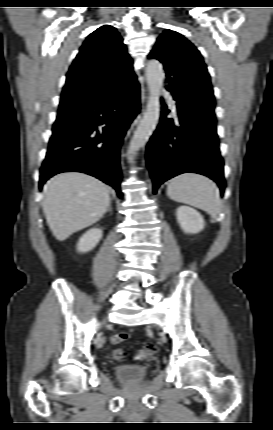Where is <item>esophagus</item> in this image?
<instances>
[{"label":"esophagus","instance_id":"esophagus-1","mask_svg":"<svg viewBox=\"0 0 273 430\" xmlns=\"http://www.w3.org/2000/svg\"><path fill=\"white\" fill-rule=\"evenodd\" d=\"M147 98L148 96L146 95L145 89H142V94H141L142 102L144 103L147 100Z\"/></svg>","mask_w":273,"mask_h":430}]
</instances>
